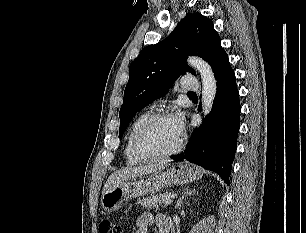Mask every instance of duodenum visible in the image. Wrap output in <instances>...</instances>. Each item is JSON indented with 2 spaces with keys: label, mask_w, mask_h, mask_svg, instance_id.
<instances>
[{
  "label": "duodenum",
  "mask_w": 306,
  "mask_h": 233,
  "mask_svg": "<svg viewBox=\"0 0 306 233\" xmlns=\"http://www.w3.org/2000/svg\"><path fill=\"white\" fill-rule=\"evenodd\" d=\"M161 233H169V227L168 225H165L161 228Z\"/></svg>",
  "instance_id": "duodenum-1"
}]
</instances>
